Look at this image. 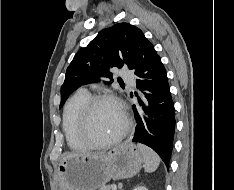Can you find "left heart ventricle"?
<instances>
[{
  "instance_id": "1",
  "label": "left heart ventricle",
  "mask_w": 234,
  "mask_h": 190,
  "mask_svg": "<svg viewBox=\"0 0 234 190\" xmlns=\"http://www.w3.org/2000/svg\"><path fill=\"white\" fill-rule=\"evenodd\" d=\"M124 126L120 108L112 102H101L93 109L90 134L96 141H105L115 136Z\"/></svg>"
}]
</instances>
